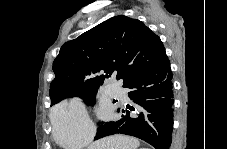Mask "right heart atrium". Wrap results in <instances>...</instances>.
Listing matches in <instances>:
<instances>
[{
    "mask_svg": "<svg viewBox=\"0 0 227 149\" xmlns=\"http://www.w3.org/2000/svg\"><path fill=\"white\" fill-rule=\"evenodd\" d=\"M53 135L63 147H79L90 144L95 126L84 104L78 99L63 101L51 113Z\"/></svg>",
    "mask_w": 227,
    "mask_h": 149,
    "instance_id": "1",
    "label": "right heart atrium"
}]
</instances>
